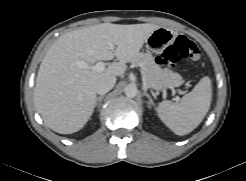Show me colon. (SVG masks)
Returning a JSON list of instances; mask_svg holds the SVG:
<instances>
[{"label":"colon","mask_w":246,"mask_h":181,"mask_svg":"<svg viewBox=\"0 0 246 181\" xmlns=\"http://www.w3.org/2000/svg\"><path fill=\"white\" fill-rule=\"evenodd\" d=\"M200 57L199 49L192 41L185 36H178L174 43L163 51L160 62L175 68L182 59L199 61Z\"/></svg>","instance_id":"5ec220e1"}]
</instances>
